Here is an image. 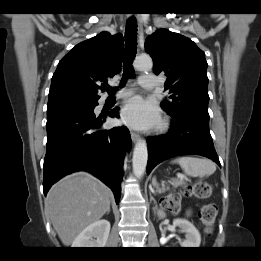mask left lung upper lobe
<instances>
[{
  "label": "left lung upper lobe",
  "mask_w": 261,
  "mask_h": 261,
  "mask_svg": "<svg viewBox=\"0 0 261 261\" xmlns=\"http://www.w3.org/2000/svg\"><path fill=\"white\" fill-rule=\"evenodd\" d=\"M145 50L153 59L154 73L167 76L169 96L162 108L171 116L188 112L209 118L205 53L191 39L167 29L148 36Z\"/></svg>",
  "instance_id": "obj_1"
}]
</instances>
